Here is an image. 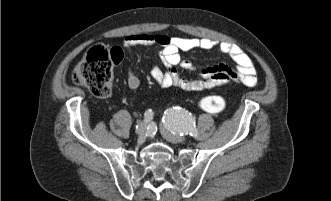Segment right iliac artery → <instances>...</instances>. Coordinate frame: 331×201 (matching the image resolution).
Listing matches in <instances>:
<instances>
[{"instance_id":"right-iliac-artery-1","label":"right iliac artery","mask_w":331,"mask_h":201,"mask_svg":"<svg viewBox=\"0 0 331 201\" xmlns=\"http://www.w3.org/2000/svg\"><path fill=\"white\" fill-rule=\"evenodd\" d=\"M153 118V112L152 110H147L144 114V120H143V124H147L148 122H150ZM139 125L136 126V128L138 127Z\"/></svg>"}]
</instances>
